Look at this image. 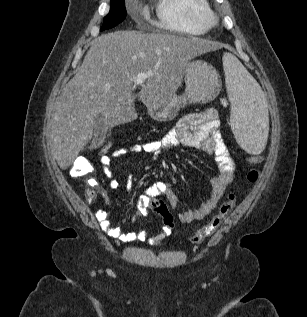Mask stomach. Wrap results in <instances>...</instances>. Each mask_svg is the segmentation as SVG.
Returning <instances> with one entry per match:
<instances>
[{
  "label": "stomach",
  "instance_id": "1",
  "mask_svg": "<svg viewBox=\"0 0 307 317\" xmlns=\"http://www.w3.org/2000/svg\"><path fill=\"white\" fill-rule=\"evenodd\" d=\"M184 80L185 93L182 96L173 95L166 103L147 105L148 114L157 121L173 120L180 108L187 103L207 102L219 93L221 82L212 65L203 60L188 62Z\"/></svg>",
  "mask_w": 307,
  "mask_h": 317
}]
</instances>
